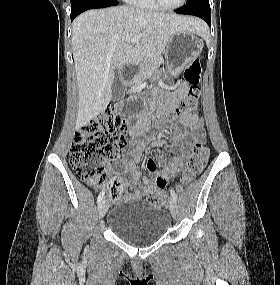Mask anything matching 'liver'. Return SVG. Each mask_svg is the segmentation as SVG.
I'll list each match as a JSON object with an SVG mask.
<instances>
[{
	"label": "liver",
	"instance_id": "1",
	"mask_svg": "<svg viewBox=\"0 0 280 285\" xmlns=\"http://www.w3.org/2000/svg\"><path fill=\"white\" fill-rule=\"evenodd\" d=\"M187 30L203 34L195 17L165 14L130 6L90 10L72 24V51L79 90L76 127L105 111L112 99L116 70L159 57L171 36ZM133 37L139 42L131 44Z\"/></svg>",
	"mask_w": 280,
	"mask_h": 285
}]
</instances>
